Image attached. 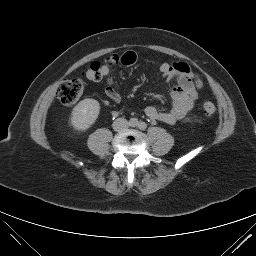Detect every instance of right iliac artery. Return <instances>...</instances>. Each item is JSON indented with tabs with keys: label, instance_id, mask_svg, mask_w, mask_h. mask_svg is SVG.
Here are the masks:
<instances>
[{
	"label": "right iliac artery",
	"instance_id": "82829eb1",
	"mask_svg": "<svg viewBox=\"0 0 256 256\" xmlns=\"http://www.w3.org/2000/svg\"><path fill=\"white\" fill-rule=\"evenodd\" d=\"M129 125L132 126V127L137 126L138 125L137 119H135V118L130 119Z\"/></svg>",
	"mask_w": 256,
	"mask_h": 256
}]
</instances>
